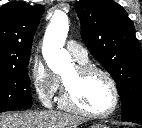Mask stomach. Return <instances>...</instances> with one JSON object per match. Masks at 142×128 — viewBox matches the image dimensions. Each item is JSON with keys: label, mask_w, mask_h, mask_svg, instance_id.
<instances>
[{"label": "stomach", "mask_w": 142, "mask_h": 128, "mask_svg": "<svg viewBox=\"0 0 142 128\" xmlns=\"http://www.w3.org/2000/svg\"><path fill=\"white\" fill-rule=\"evenodd\" d=\"M89 128H107V127L104 126V125L93 124V125H91Z\"/></svg>", "instance_id": "stomach-1"}]
</instances>
